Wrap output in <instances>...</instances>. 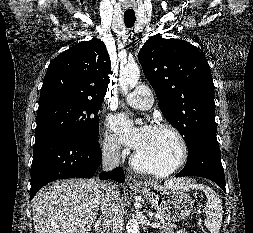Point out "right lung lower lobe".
Wrapping results in <instances>:
<instances>
[{"label":"right lung lower lobe","mask_w":253,"mask_h":233,"mask_svg":"<svg viewBox=\"0 0 253 233\" xmlns=\"http://www.w3.org/2000/svg\"><path fill=\"white\" fill-rule=\"evenodd\" d=\"M99 143H86L63 134H43L36 137L31 166L30 200L49 182L66 178H91L101 163ZM100 179L125 181L120 167L102 172Z\"/></svg>","instance_id":"1"}]
</instances>
